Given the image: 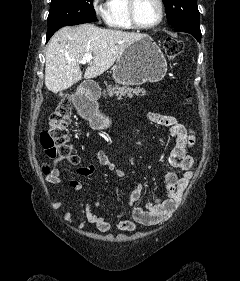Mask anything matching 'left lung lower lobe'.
Listing matches in <instances>:
<instances>
[{"label": "left lung lower lobe", "mask_w": 240, "mask_h": 281, "mask_svg": "<svg viewBox=\"0 0 240 281\" xmlns=\"http://www.w3.org/2000/svg\"><path fill=\"white\" fill-rule=\"evenodd\" d=\"M175 31H181V32H187L191 35H193L197 41H201V31L200 26L199 27H193V26H180L177 28H174Z\"/></svg>", "instance_id": "left-lung-lower-lobe-1"}]
</instances>
